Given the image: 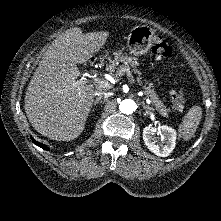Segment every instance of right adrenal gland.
Segmentation results:
<instances>
[{"label":"right adrenal gland","instance_id":"obj_1","mask_svg":"<svg viewBox=\"0 0 221 221\" xmlns=\"http://www.w3.org/2000/svg\"><path fill=\"white\" fill-rule=\"evenodd\" d=\"M99 100H100V98H97V99L94 101V105H96Z\"/></svg>","mask_w":221,"mask_h":221}]
</instances>
